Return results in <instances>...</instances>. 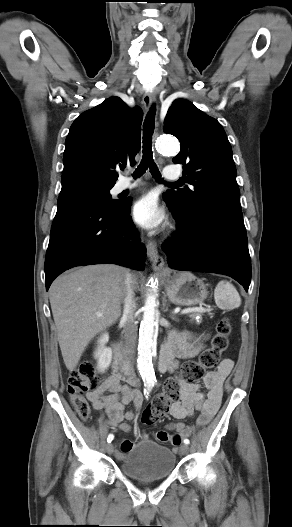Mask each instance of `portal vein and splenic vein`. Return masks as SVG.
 <instances>
[{
    "label": "portal vein and splenic vein",
    "mask_w": 292,
    "mask_h": 527,
    "mask_svg": "<svg viewBox=\"0 0 292 527\" xmlns=\"http://www.w3.org/2000/svg\"><path fill=\"white\" fill-rule=\"evenodd\" d=\"M205 311H206V309H204V308H190V309H183L181 311V314H188V313H192V312H200V313H202V312H205ZM98 316L102 317V314H98Z\"/></svg>",
    "instance_id": "18ae733b"
}]
</instances>
